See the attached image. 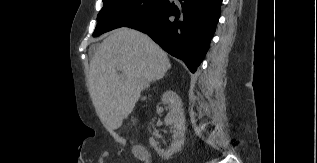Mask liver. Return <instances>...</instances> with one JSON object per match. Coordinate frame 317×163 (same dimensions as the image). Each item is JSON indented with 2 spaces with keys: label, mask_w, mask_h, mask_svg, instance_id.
<instances>
[{
  "label": "liver",
  "mask_w": 317,
  "mask_h": 163,
  "mask_svg": "<svg viewBox=\"0 0 317 163\" xmlns=\"http://www.w3.org/2000/svg\"><path fill=\"white\" fill-rule=\"evenodd\" d=\"M171 68L167 54L146 34L122 27L98 46L90 61L88 90L107 130L118 129L141 91Z\"/></svg>",
  "instance_id": "obj_1"
}]
</instances>
